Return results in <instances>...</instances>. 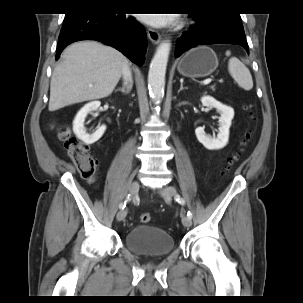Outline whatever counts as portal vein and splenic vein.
<instances>
[{"label":"portal vein and splenic vein","instance_id":"obj_1","mask_svg":"<svg viewBox=\"0 0 303 303\" xmlns=\"http://www.w3.org/2000/svg\"><path fill=\"white\" fill-rule=\"evenodd\" d=\"M209 83H211V79L210 78H208V79H206V80L203 81L204 85H208Z\"/></svg>","mask_w":303,"mask_h":303}]
</instances>
